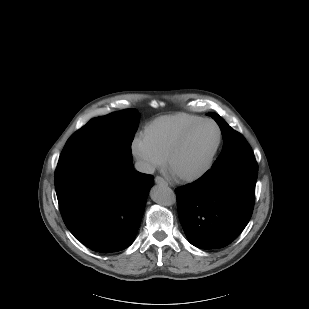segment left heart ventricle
<instances>
[{
    "mask_svg": "<svg viewBox=\"0 0 309 309\" xmlns=\"http://www.w3.org/2000/svg\"><path fill=\"white\" fill-rule=\"evenodd\" d=\"M218 141L215 125L205 123L199 126L186 140L170 163L175 175L193 174L208 163Z\"/></svg>",
    "mask_w": 309,
    "mask_h": 309,
    "instance_id": "obj_1",
    "label": "left heart ventricle"
}]
</instances>
